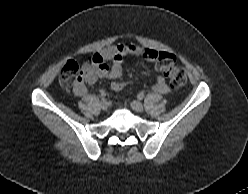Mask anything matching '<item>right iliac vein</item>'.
Returning a JSON list of instances; mask_svg holds the SVG:
<instances>
[{
    "label": "right iliac vein",
    "instance_id": "63e3f726",
    "mask_svg": "<svg viewBox=\"0 0 248 194\" xmlns=\"http://www.w3.org/2000/svg\"><path fill=\"white\" fill-rule=\"evenodd\" d=\"M108 106H109V104H108V102L106 100H103V101L100 102V107H101L102 110H107Z\"/></svg>",
    "mask_w": 248,
    "mask_h": 194
}]
</instances>
